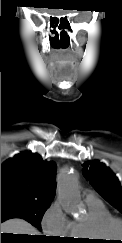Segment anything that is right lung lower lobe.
Listing matches in <instances>:
<instances>
[{
	"label": "right lung lower lobe",
	"mask_w": 122,
	"mask_h": 243,
	"mask_svg": "<svg viewBox=\"0 0 122 243\" xmlns=\"http://www.w3.org/2000/svg\"><path fill=\"white\" fill-rule=\"evenodd\" d=\"M7 219H10V218L9 217H5V216L1 217V223L3 221L7 220ZM42 242L43 243H52V240L51 239H42Z\"/></svg>",
	"instance_id": "obj_1"
}]
</instances>
